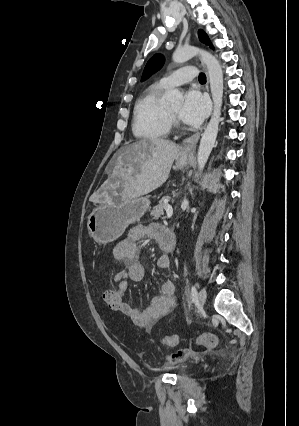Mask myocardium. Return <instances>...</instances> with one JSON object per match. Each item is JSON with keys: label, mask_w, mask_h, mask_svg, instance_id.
Here are the masks:
<instances>
[{"label": "myocardium", "mask_w": 299, "mask_h": 426, "mask_svg": "<svg viewBox=\"0 0 299 426\" xmlns=\"http://www.w3.org/2000/svg\"><path fill=\"white\" fill-rule=\"evenodd\" d=\"M167 115H168L169 125L174 128H178L180 125L178 116L171 110L170 106H168Z\"/></svg>", "instance_id": "myocardium-1"}]
</instances>
